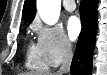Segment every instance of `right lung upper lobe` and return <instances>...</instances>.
Segmentation results:
<instances>
[{"label":"right lung upper lobe","mask_w":107,"mask_h":75,"mask_svg":"<svg viewBox=\"0 0 107 75\" xmlns=\"http://www.w3.org/2000/svg\"><path fill=\"white\" fill-rule=\"evenodd\" d=\"M36 13V1L35 0H25L23 7V18L27 23H31L35 17Z\"/></svg>","instance_id":"1"}]
</instances>
